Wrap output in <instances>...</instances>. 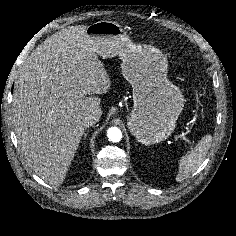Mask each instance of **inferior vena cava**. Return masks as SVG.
<instances>
[{"label":"inferior vena cava","mask_w":236,"mask_h":236,"mask_svg":"<svg viewBox=\"0 0 236 236\" xmlns=\"http://www.w3.org/2000/svg\"><path fill=\"white\" fill-rule=\"evenodd\" d=\"M99 118L100 116L97 113L89 111L83 115L82 124L84 127L92 126L99 121Z\"/></svg>","instance_id":"obj_1"}]
</instances>
